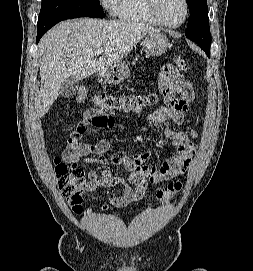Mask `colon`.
I'll list each match as a JSON object with an SVG mask.
<instances>
[{
	"instance_id": "5ec220e1",
	"label": "colon",
	"mask_w": 253,
	"mask_h": 271,
	"mask_svg": "<svg viewBox=\"0 0 253 271\" xmlns=\"http://www.w3.org/2000/svg\"><path fill=\"white\" fill-rule=\"evenodd\" d=\"M176 66L181 70H188L187 62L181 58H175ZM182 88L192 91V85L185 81ZM89 98V89L85 86H79L75 99L83 103ZM95 106L94 113L109 114L113 111H137L147 105L157 101L156 95H150L145 98L129 96V95H112V94H96L92 98ZM55 172L58 180L59 188L66 197L68 204L74 209L79 210L82 201V195L88 191L89 182L86 181L84 171L79 167L76 161H65L60 158L55 160ZM182 189L181 182H173L162 188L157 193V200L160 204L167 203Z\"/></svg>"
}]
</instances>
